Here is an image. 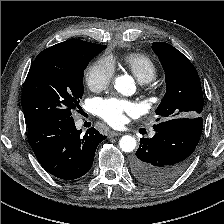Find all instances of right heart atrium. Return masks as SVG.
I'll use <instances>...</instances> for the list:
<instances>
[{
    "mask_svg": "<svg viewBox=\"0 0 224 224\" xmlns=\"http://www.w3.org/2000/svg\"><path fill=\"white\" fill-rule=\"evenodd\" d=\"M115 66L113 60L99 59L93 62L86 70L85 80L87 86L92 91H102L106 89L113 80Z\"/></svg>",
    "mask_w": 224,
    "mask_h": 224,
    "instance_id": "obj_1",
    "label": "right heart atrium"
}]
</instances>
